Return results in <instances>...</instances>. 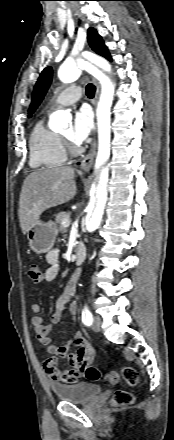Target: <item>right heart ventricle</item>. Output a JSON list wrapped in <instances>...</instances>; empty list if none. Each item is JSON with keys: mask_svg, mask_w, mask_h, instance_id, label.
<instances>
[{"mask_svg": "<svg viewBox=\"0 0 174 440\" xmlns=\"http://www.w3.org/2000/svg\"><path fill=\"white\" fill-rule=\"evenodd\" d=\"M67 159L63 139L39 120L29 137V163L32 168H53Z\"/></svg>", "mask_w": 174, "mask_h": 440, "instance_id": "1", "label": "right heart ventricle"}]
</instances>
